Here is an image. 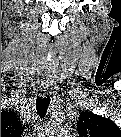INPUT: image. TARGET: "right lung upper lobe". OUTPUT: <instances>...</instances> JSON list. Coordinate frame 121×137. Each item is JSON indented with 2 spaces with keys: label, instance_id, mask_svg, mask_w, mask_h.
<instances>
[{
  "label": "right lung upper lobe",
  "instance_id": "1",
  "mask_svg": "<svg viewBox=\"0 0 121 137\" xmlns=\"http://www.w3.org/2000/svg\"><path fill=\"white\" fill-rule=\"evenodd\" d=\"M22 126L17 115L12 111L1 113V135H17L21 133Z\"/></svg>",
  "mask_w": 121,
  "mask_h": 137
}]
</instances>
